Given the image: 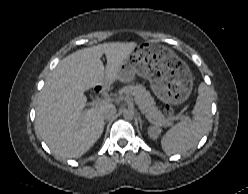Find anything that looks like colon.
Here are the masks:
<instances>
[{
    "label": "colon",
    "mask_w": 248,
    "mask_h": 194,
    "mask_svg": "<svg viewBox=\"0 0 248 194\" xmlns=\"http://www.w3.org/2000/svg\"><path fill=\"white\" fill-rule=\"evenodd\" d=\"M164 110L167 114H170L172 112V107L169 103H167L164 107Z\"/></svg>",
    "instance_id": "5ec220e1"
}]
</instances>
